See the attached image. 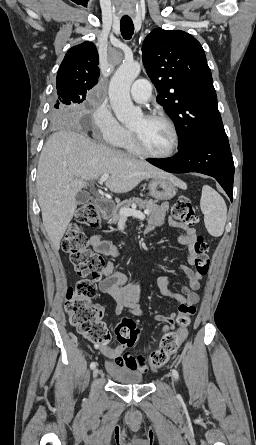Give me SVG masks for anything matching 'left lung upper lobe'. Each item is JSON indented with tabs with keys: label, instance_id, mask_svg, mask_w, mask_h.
<instances>
[{
	"label": "left lung upper lobe",
	"instance_id": "5c2ea615",
	"mask_svg": "<svg viewBox=\"0 0 256 445\" xmlns=\"http://www.w3.org/2000/svg\"><path fill=\"white\" fill-rule=\"evenodd\" d=\"M142 59L159 92L156 100L176 124L179 147L203 133L225 132L201 44L180 30L154 29Z\"/></svg>",
	"mask_w": 256,
	"mask_h": 445
}]
</instances>
